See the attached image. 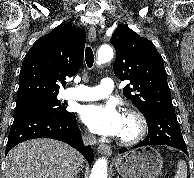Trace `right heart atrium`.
Wrapping results in <instances>:
<instances>
[{"label": "right heart atrium", "instance_id": "obj_1", "mask_svg": "<svg viewBox=\"0 0 194 178\" xmlns=\"http://www.w3.org/2000/svg\"><path fill=\"white\" fill-rule=\"evenodd\" d=\"M85 138L88 139V140L92 139V137L89 133H85Z\"/></svg>", "mask_w": 194, "mask_h": 178}]
</instances>
